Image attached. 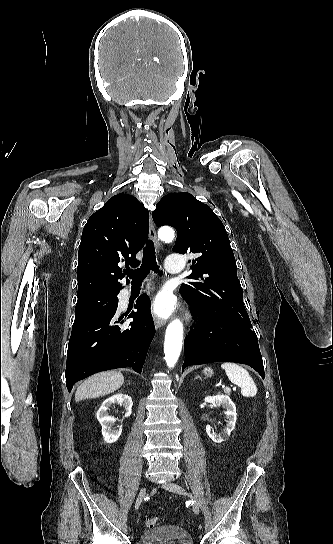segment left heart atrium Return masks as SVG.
Listing matches in <instances>:
<instances>
[{
  "label": "left heart atrium",
  "mask_w": 333,
  "mask_h": 544,
  "mask_svg": "<svg viewBox=\"0 0 333 544\" xmlns=\"http://www.w3.org/2000/svg\"><path fill=\"white\" fill-rule=\"evenodd\" d=\"M175 303L171 294L167 292L160 293L154 301V312L161 316L167 317L174 309Z\"/></svg>",
  "instance_id": "1"
}]
</instances>
